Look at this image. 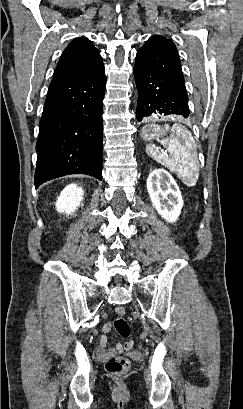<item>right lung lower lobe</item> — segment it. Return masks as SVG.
I'll list each match as a JSON object with an SVG mask.
<instances>
[{
	"instance_id": "obj_1",
	"label": "right lung lower lobe",
	"mask_w": 243,
	"mask_h": 409,
	"mask_svg": "<svg viewBox=\"0 0 243 409\" xmlns=\"http://www.w3.org/2000/svg\"><path fill=\"white\" fill-rule=\"evenodd\" d=\"M104 65L84 77L53 78L39 123L35 186L67 174L102 179Z\"/></svg>"
}]
</instances>
